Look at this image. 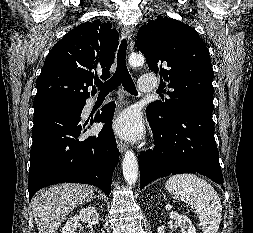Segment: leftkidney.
Segmentation results:
<instances>
[{
	"mask_svg": "<svg viewBox=\"0 0 253 233\" xmlns=\"http://www.w3.org/2000/svg\"><path fill=\"white\" fill-rule=\"evenodd\" d=\"M169 217L176 220L179 227L182 229V233H196L194 225L187 216L172 211L169 213Z\"/></svg>",
	"mask_w": 253,
	"mask_h": 233,
	"instance_id": "5707ae66",
	"label": "left kidney"
}]
</instances>
